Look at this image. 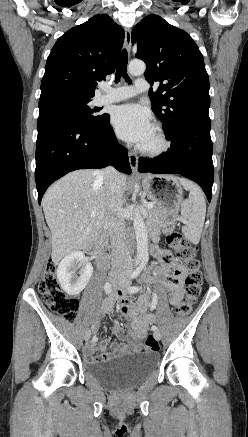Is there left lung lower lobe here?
Listing matches in <instances>:
<instances>
[{"label": "left lung lower lobe", "instance_id": "0a47b994", "mask_svg": "<svg viewBox=\"0 0 248 437\" xmlns=\"http://www.w3.org/2000/svg\"><path fill=\"white\" fill-rule=\"evenodd\" d=\"M210 127V118L184 121L166 135L170 150L155 159L139 158L138 171L180 174L199 184L210 202L214 179Z\"/></svg>", "mask_w": 248, "mask_h": 437}]
</instances>
